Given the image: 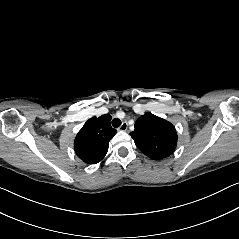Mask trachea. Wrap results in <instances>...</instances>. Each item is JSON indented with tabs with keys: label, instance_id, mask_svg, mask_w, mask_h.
I'll return each mask as SVG.
<instances>
[{
	"label": "trachea",
	"instance_id": "obj_1",
	"mask_svg": "<svg viewBox=\"0 0 239 239\" xmlns=\"http://www.w3.org/2000/svg\"><path fill=\"white\" fill-rule=\"evenodd\" d=\"M120 125H121V120H120V119L115 118V119L112 120V126H113L114 128H117V127H119Z\"/></svg>",
	"mask_w": 239,
	"mask_h": 239
}]
</instances>
